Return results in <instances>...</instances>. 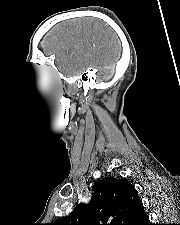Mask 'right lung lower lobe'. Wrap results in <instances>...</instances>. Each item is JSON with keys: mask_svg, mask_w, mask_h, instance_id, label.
<instances>
[{"mask_svg": "<svg viewBox=\"0 0 180 225\" xmlns=\"http://www.w3.org/2000/svg\"><path fill=\"white\" fill-rule=\"evenodd\" d=\"M143 225H150V224H149V217H148V219L143 223Z\"/></svg>", "mask_w": 180, "mask_h": 225, "instance_id": "right-lung-lower-lobe-1", "label": "right lung lower lobe"}]
</instances>
